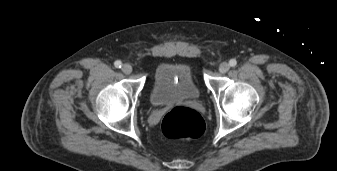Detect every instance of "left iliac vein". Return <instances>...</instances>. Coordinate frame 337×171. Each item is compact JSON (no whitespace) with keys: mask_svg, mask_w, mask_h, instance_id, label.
Segmentation results:
<instances>
[{"mask_svg":"<svg viewBox=\"0 0 337 171\" xmlns=\"http://www.w3.org/2000/svg\"><path fill=\"white\" fill-rule=\"evenodd\" d=\"M230 66L228 63L223 62L219 65V72L220 73H226L229 70Z\"/></svg>","mask_w":337,"mask_h":171,"instance_id":"obj_1","label":"left iliac vein"}]
</instances>
